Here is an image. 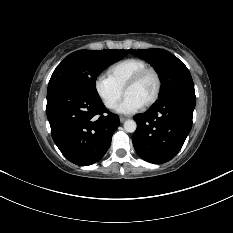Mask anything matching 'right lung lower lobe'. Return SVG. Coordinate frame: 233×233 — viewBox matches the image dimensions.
<instances>
[{"label": "right lung lower lobe", "mask_w": 233, "mask_h": 233, "mask_svg": "<svg viewBox=\"0 0 233 233\" xmlns=\"http://www.w3.org/2000/svg\"><path fill=\"white\" fill-rule=\"evenodd\" d=\"M46 113L55 144L70 162L80 166L104 156L120 124L100 98L73 90L48 92Z\"/></svg>", "instance_id": "1"}]
</instances>
